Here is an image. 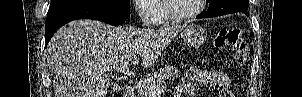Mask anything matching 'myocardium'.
Wrapping results in <instances>:
<instances>
[{"label":"myocardium","mask_w":302,"mask_h":97,"mask_svg":"<svg viewBox=\"0 0 302 97\" xmlns=\"http://www.w3.org/2000/svg\"><path fill=\"white\" fill-rule=\"evenodd\" d=\"M171 1L172 0H165L166 12L168 16L171 18V20L176 22L185 21L198 16L204 11L205 4H206V0H198L199 1L198 7L194 11L186 14H178L174 11Z\"/></svg>","instance_id":"myocardium-1"}]
</instances>
